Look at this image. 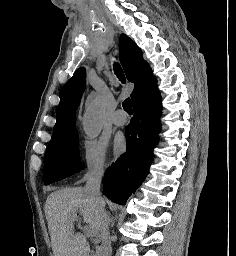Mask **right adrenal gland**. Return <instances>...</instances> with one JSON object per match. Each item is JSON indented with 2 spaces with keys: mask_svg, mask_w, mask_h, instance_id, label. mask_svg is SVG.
<instances>
[{
  "mask_svg": "<svg viewBox=\"0 0 236 256\" xmlns=\"http://www.w3.org/2000/svg\"><path fill=\"white\" fill-rule=\"evenodd\" d=\"M107 218H108V220H110L111 228H113L114 224H112V218H111L110 214H108V212H107Z\"/></svg>",
  "mask_w": 236,
  "mask_h": 256,
  "instance_id": "1",
  "label": "right adrenal gland"
}]
</instances>
